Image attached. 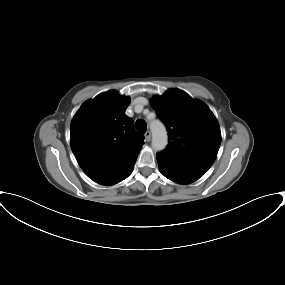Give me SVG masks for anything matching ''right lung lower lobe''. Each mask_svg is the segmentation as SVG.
I'll list each match as a JSON object with an SVG mask.
<instances>
[{"instance_id":"right-lung-lower-lobe-1","label":"right lung lower lobe","mask_w":285,"mask_h":285,"mask_svg":"<svg viewBox=\"0 0 285 285\" xmlns=\"http://www.w3.org/2000/svg\"><path fill=\"white\" fill-rule=\"evenodd\" d=\"M133 167H134V165H133L132 167H130L121 177H119L118 179H116L111 185L117 184V183H119L120 181H122V180H124L125 178H127V177L131 174V172H132V170H133Z\"/></svg>"}]
</instances>
